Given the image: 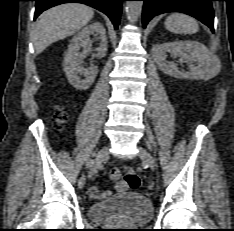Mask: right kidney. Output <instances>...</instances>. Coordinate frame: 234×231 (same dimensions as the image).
I'll use <instances>...</instances> for the list:
<instances>
[{
	"label": "right kidney",
	"mask_w": 234,
	"mask_h": 231,
	"mask_svg": "<svg viewBox=\"0 0 234 231\" xmlns=\"http://www.w3.org/2000/svg\"><path fill=\"white\" fill-rule=\"evenodd\" d=\"M93 34L97 35L101 41L94 56L98 59L103 58L107 51V38L105 28L100 22H94L79 31L72 38L65 52L63 70L69 83L78 90L89 89L98 74L97 66L91 65L90 68L84 69L80 65L81 60L85 58L86 53L90 50L92 44L90 35ZM81 48H83L82 52H80Z\"/></svg>",
	"instance_id": "1"
}]
</instances>
